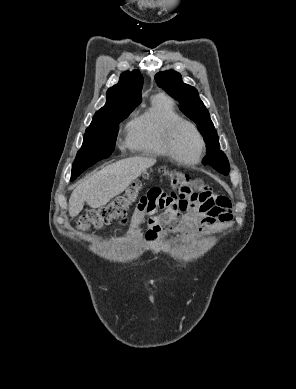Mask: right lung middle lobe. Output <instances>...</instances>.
Returning <instances> with one entry per match:
<instances>
[{
    "label": "right lung middle lobe",
    "mask_w": 296,
    "mask_h": 389,
    "mask_svg": "<svg viewBox=\"0 0 296 389\" xmlns=\"http://www.w3.org/2000/svg\"><path fill=\"white\" fill-rule=\"evenodd\" d=\"M135 107L122 108L103 117L93 119L86 129L84 141L78 151L72 169L83 165L92 166L111 155L115 148L118 124Z\"/></svg>",
    "instance_id": "1"
}]
</instances>
